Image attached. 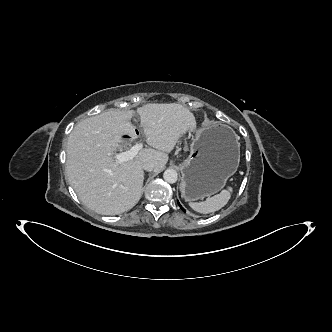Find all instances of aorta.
I'll return each instance as SVG.
<instances>
[{"label":"aorta","instance_id":"obj_1","mask_svg":"<svg viewBox=\"0 0 332 332\" xmlns=\"http://www.w3.org/2000/svg\"><path fill=\"white\" fill-rule=\"evenodd\" d=\"M163 178L168 183H175L178 180V174L174 169H167L163 174Z\"/></svg>","mask_w":332,"mask_h":332}]
</instances>
